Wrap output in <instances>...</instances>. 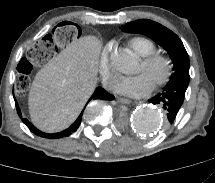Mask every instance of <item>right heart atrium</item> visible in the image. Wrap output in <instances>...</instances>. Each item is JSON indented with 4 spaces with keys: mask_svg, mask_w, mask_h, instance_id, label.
Wrapping results in <instances>:
<instances>
[{
    "mask_svg": "<svg viewBox=\"0 0 215 183\" xmlns=\"http://www.w3.org/2000/svg\"><path fill=\"white\" fill-rule=\"evenodd\" d=\"M100 72L105 83V86L110 90L114 89L117 81V75L114 72L110 62L108 47L104 48V50L101 53Z\"/></svg>",
    "mask_w": 215,
    "mask_h": 183,
    "instance_id": "1",
    "label": "right heart atrium"
}]
</instances>
